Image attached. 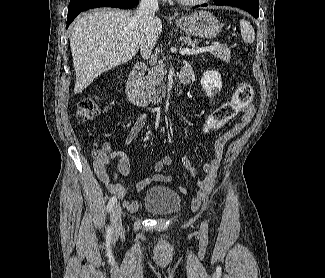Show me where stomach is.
<instances>
[{
	"instance_id": "0dacf381",
	"label": "stomach",
	"mask_w": 325,
	"mask_h": 278,
	"mask_svg": "<svg viewBox=\"0 0 325 278\" xmlns=\"http://www.w3.org/2000/svg\"><path fill=\"white\" fill-rule=\"evenodd\" d=\"M176 25L184 32L200 38L211 39L221 32L218 19L208 11H194L176 21Z\"/></svg>"
}]
</instances>
